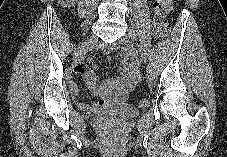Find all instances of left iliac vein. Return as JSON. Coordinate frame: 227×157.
Returning a JSON list of instances; mask_svg holds the SVG:
<instances>
[{
    "instance_id": "obj_1",
    "label": "left iliac vein",
    "mask_w": 227,
    "mask_h": 157,
    "mask_svg": "<svg viewBox=\"0 0 227 157\" xmlns=\"http://www.w3.org/2000/svg\"><path fill=\"white\" fill-rule=\"evenodd\" d=\"M134 31L130 30L125 36H123L122 38L119 39V43L126 45V46H130L134 43V41L136 40V37L133 36ZM147 78L150 82H153L155 80V73L154 70L152 68V66L147 63Z\"/></svg>"
}]
</instances>
